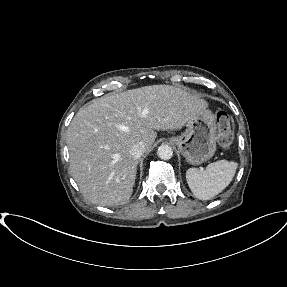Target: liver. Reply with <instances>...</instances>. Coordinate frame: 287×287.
<instances>
[{
    "label": "liver",
    "instance_id": "1",
    "mask_svg": "<svg viewBox=\"0 0 287 287\" xmlns=\"http://www.w3.org/2000/svg\"><path fill=\"white\" fill-rule=\"evenodd\" d=\"M206 101L181 86L149 85L108 94L83 106L67 130L70 172L83 196L100 206L129 201L138 159L150 151L159 130H180Z\"/></svg>",
    "mask_w": 287,
    "mask_h": 287
}]
</instances>
